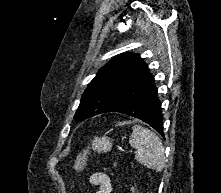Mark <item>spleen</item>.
Returning <instances> with one entry per match:
<instances>
[{"instance_id": "3e777b00", "label": "spleen", "mask_w": 221, "mask_h": 193, "mask_svg": "<svg viewBox=\"0 0 221 193\" xmlns=\"http://www.w3.org/2000/svg\"><path fill=\"white\" fill-rule=\"evenodd\" d=\"M129 143L137 150L135 158L138 162L157 172L164 168V147L154 132L139 125L134 126Z\"/></svg>"}]
</instances>
